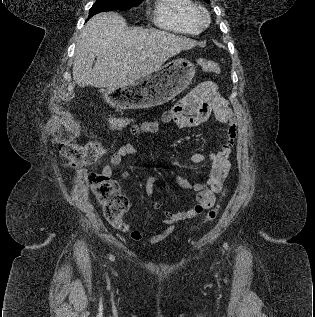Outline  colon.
Instances as JSON below:
<instances>
[{
  "label": "colon",
  "mask_w": 315,
  "mask_h": 317,
  "mask_svg": "<svg viewBox=\"0 0 315 317\" xmlns=\"http://www.w3.org/2000/svg\"><path fill=\"white\" fill-rule=\"evenodd\" d=\"M204 72L218 73L220 67L217 62L209 59H200L198 61ZM131 123L130 118H116L111 129L114 132L120 131ZM70 161L76 165H86L95 162L105 153V147L100 143L91 144H73L66 150ZM88 183L100 203L106 220L117 228H122L123 216L129 207L128 198L123 195L119 189L117 181L112 177L100 173H91L88 177ZM218 214V207L211 209L206 217L205 222L213 221Z\"/></svg>",
  "instance_id": "5ec220e1"
}]
</instances>
